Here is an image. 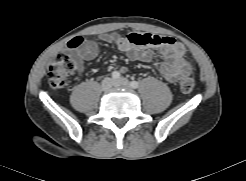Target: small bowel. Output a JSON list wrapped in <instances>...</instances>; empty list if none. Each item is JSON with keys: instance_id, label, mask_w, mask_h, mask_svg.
<instances>
[{"instance_id": "obj_1", "label": "small bowel", "mask_w": 246, "mask_h": 181, "mask_svg": "<svg viewBox=\"0 0 246 181\" xmlns=\"http://www.w3.org/2000/svg\"><path fill=\"white\" fill-rule=\"evenodd\" d=\"M144 34L129 33L125 36L118 34H104L100 40L105 43H114L118 49L130 55L132 59L141 61H152L155 58V52L152 47H156L163 59L159 67L161 77L169 82L175 83L181 78L187 77L193 70L192 63L185 57V48L183 44L172 37L160 36L162 39L158 45H143L139 43L140 37ZM99 52V43L97 40L88 39L83 42L76 50V56L80 60H93ZM82 70V67H80ZM126 72V68H121Z\"/></svg>"}]
</instances>
